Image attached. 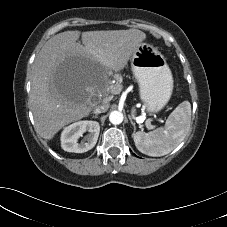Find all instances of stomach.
I'll use <instances>...</instances> for the list:
<instances>
[{
	"instance_id": "obj_1",
	"label": "stomach",
	"mask_w": 227,
	"mask_h": 227,
	"mask_svg": "<svg viewBox=\"0 0 227 227\" xmlns=\"http://www.w3.org/2000/svg\"><path fill=\"white\" fill-rule=\"evenodd\" d=\"M131 69L147 112H159L173 91L172 73L165 57L153 46L141 43L131 56Z\"/></svg>"
}]
</instances>
